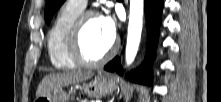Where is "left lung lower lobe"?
<instances>
[{
  "instance_id": "obj_1",
  "label": "left lung lower lobe",
  "mask_w": 221,
  "mask_h": 102,
  "mask_svg": "<svg viewBox=\"0 0 221 102\" xmlns=\"http://www.w3.org/2000/svg\"><path fill=\"white\" fill-rule=\"evenodd\" d=\"M145 14L148 29V51L146 61L143 66L131 72L128 78L134 82L143 83L147 85L152 84V77L150 67L154 58L155 45L158 40L159 26L161 23V14L163 1L162 0H145ZM105 70L114 72L116 71L119 75L123 74L122 67L120 66V59L118 57L114 58L105 67Z\"/></svg>"
}]
</instances>
